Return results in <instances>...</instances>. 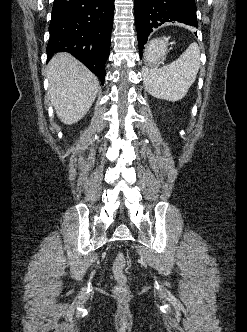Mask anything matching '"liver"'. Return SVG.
Listing matches in <instances>:
<instances>
[{
	"instance_id": "1",
	"label": "liver",
	"mask_w": 247,
	"mask_h": 332,
	"mask_svg": "<svg viewBox=\"0 0 247 332\" xmlns=\"http://www.w3.org/2000/svg\"><path fill=\"white\" fill-rule=\"evenodd\" d=\"M48 95L58 118L71 125L82 119L92 106L98 78L68 53H58L47 65Z\"/></svg>"
}]
</instances>
